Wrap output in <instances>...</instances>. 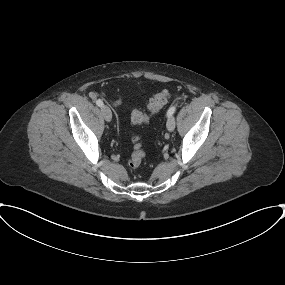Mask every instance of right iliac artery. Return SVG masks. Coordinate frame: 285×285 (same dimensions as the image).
<instances>
[{"mask_svg": "<svg viewBox=\"0 0 285 285\" xmlns=\"http://www.w3.org/2000/svg\"><path fill=\"white\" fill-rule=\"evenodd\" d=\"M96 104L99 106V107H102L104 104L101 100H97L96 101Z\"/></svg>", "mask_w": 285, "mask_h": 285, "instance_id": "obj_1", "label": "right iliac artery"}]
</instances>
